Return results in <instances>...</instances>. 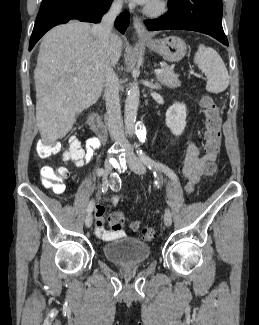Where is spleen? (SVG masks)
Listing matches in <instances>:
<instances>
[{"label": "spleen", "mask_w": 259, "mask_h": 325, "mask_svg": "<svg viewBox=\"0 0 259 325\" xmlns=\"http://www.w3.org/2000/svg\"><path fill=\"white\" fill-rule=\"evenodd\" d=\"M194 63L207 77V91L221 93L226 90L229 85V75L222 58L216 50L200 44L194 56Z\"/></svg>", "instance_id": "obj_1"}]
</instances>
